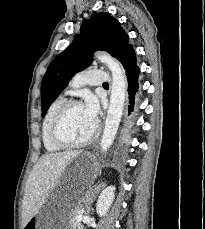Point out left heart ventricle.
<instances>
[{"instance_id":"obj_1","label":"left heart ventricle","mask_w":205,"mask_h":229,"mask_svg":"<svg viewBox=\"0 0 205 229\" xmlns=\"http://www.w3.org/2000/svg\"><path fill=\"white\" fill-rule=\"evenodd\" d=\"M95 122L83 105L72 107L62 121L60 136L68 141H81L93 132Z\"/></svg>"}]
</instances>
